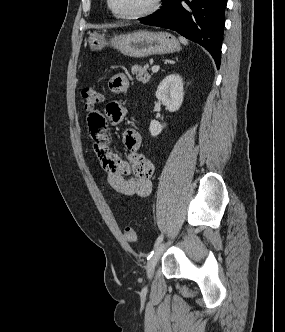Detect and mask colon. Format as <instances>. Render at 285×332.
<instances>
[{
  "label": "colon",
  "instance_id": "5ec220e1",
  "mask_svg": "<svg viewBox=\"0 0 285 332\" xmlns=\"http://www.w3.org/2000/svg\"><path fill=\"white\" fill-rule=\"evenodd\" d=\"M104 99L103 93L94 87L85 88L82 91V101L86 110L94 112L98 104ZM125 238L128 242L134 243L137 241V233L134 228L126 227L124 230Z\"/></svg>",
  "mask_w": 285,
  "mask_h": 332
}]
</instances>
